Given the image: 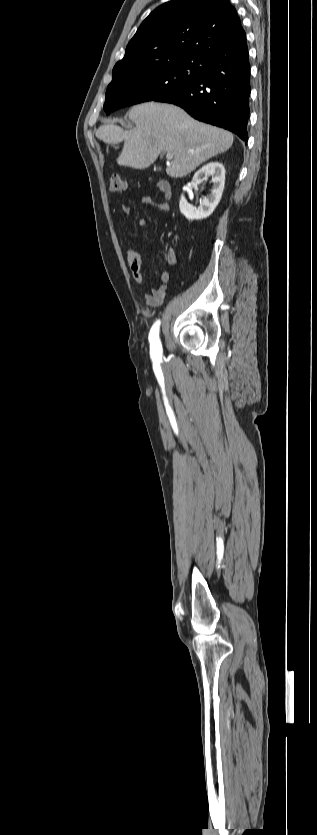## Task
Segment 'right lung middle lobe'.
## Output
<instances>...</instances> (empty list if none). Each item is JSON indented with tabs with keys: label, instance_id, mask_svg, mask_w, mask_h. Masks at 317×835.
<instances>
[{
	"label": "right lung middle lobe",
	"instance_id": "obj_1",
	"mask_svg": "<svg viewBox=\"0 0 317 835\" xmlns=\"http://www.w3.org/2000/svg\"><path fill=\"white\" fill-rule=\"evenodd\" d=\"M199 60L147 67L137 72L113 74L106 91L107 114L125 106L152 101L198 76Z\"/></svg>",
	"mask_w": 317,
	"mask_h": 835
}]
</instances>
